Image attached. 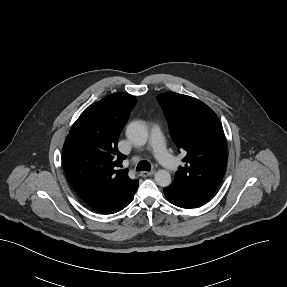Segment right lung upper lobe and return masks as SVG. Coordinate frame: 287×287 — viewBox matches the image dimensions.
Wrapping results in <instances>:
<instances>
[{
  "instance_id": "right-lung-upper-lobe-1",
  "label": "right lung upper lobe",
  "mask_w": 287,
  "mask_h": 287,
  "mask_svg": "<svg viewBox=\"0 0 287 287\" xmlns=\"http://www.w3.org/2000/svg\"><path fill=\"white\" fill-rule=\"evenodd\" d=\"M136 101L126 93L109 95L86 108L73 124L63 146V166L83 201L137 183L127 170H116L126 158L117 150L118 137Z\"/></svg>"
}]
</instances>
